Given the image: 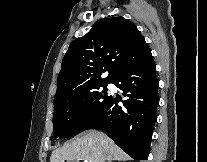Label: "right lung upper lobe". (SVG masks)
I'll use <instances>...</instances> for the list:
<instances>
[{
    "label": "right lung upper lobe",
    "mask_w": 207,
    "mask_h": 162,
    "mask_svg": "<svg viewBox=\"0 0 207 162\" xmlns=\"http://www.w3.org/2000/svg\"><path fill=\"white\" fill-rule=\"evenodd\" d=\"M151 56L134 23L123 17L99 20L70 44L62 61L55 99L112 83L129 66ZM108 72L106 78H102Z\"/></svg>",
    "instance_id": "obj_1"
}]
</instances>
